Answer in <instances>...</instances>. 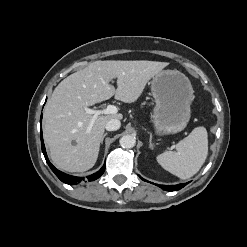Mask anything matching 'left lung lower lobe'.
Returning <instances> with one entry per match:
<instances>
[{"mask_svg":"<svg viewBox=\"0 0 247 247\" xmlns=\"http://www.w3.org/2000/svg\"><path fill=\"white\" fill-rule=\"evenodd\" d=\"M141 178V177H140ZM142 179V178H141ZM144 180V179H142ZM187 183H183V184H178V185H162L159 186L160 188H162L163 190L166 191H177L180 190L181 188H183Z\"/></svg>","mask_w":247,"mask_h":247,"instance_id":"0a47b994","label":"left lung lower lobe"}]
</instances>
